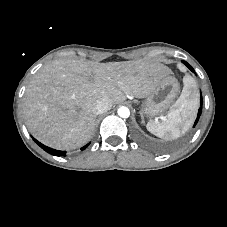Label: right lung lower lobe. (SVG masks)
Segmentation results:
<instances>
[{
    "instance_id": "1",
    "label": "right lung lower lobe",
    "mask_w": 227,
    "mask_h": 227,
    "mask_svg": "<svg viewBox=\"0 0 227 227\" xmlns=\"http://www.w3.org/2000/svg\"><path fill=\"white\" fill-rule=\"evenodd\" d=\"M33 140L42 148L44 149L46 152L52 154V155H56V156H61V155H65V151H59V150H55L52 148H49L45 145H43L42 143H40L39 141H37L35 138H33ZM89 144L85 145L84 147L81 148V150H84L85 148L88 147Z\"/></svg>"
}]
</instances>
